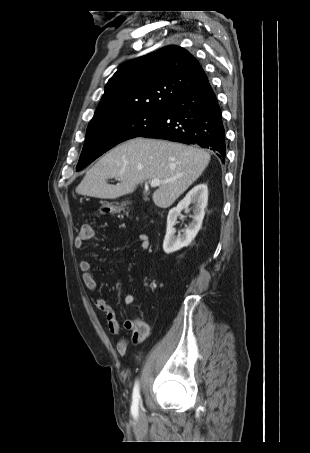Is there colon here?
Here are the masks:
<instances>
[{
  "label": "colon",
  "mask_w": 310,
  "mask_h": 453,
  "mask_svg": "<svg viewBox=\"0 0 310 453\" xmlns=\"http://www.w3.org/2000/svg\"><path fill=\"white\" fill-rule=\"evenodd\" d=\"M93 234L92 226L89 224H84L81 228V235L84 238H88Z\"/></svg>",
  "instance_id": "5ec220e1"
}]
</instances>
